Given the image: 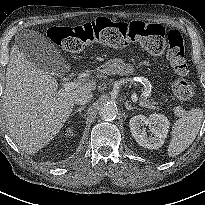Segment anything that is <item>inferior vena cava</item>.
<instances>
[{
  "label": "inferior vena cava",
  "mask_w": 205,
  "mask_h": 205,
  "mask_svg": "<svg viewBox=\"0 0 205 205\" xmlns=\"http://www.w3.org/2000/svg\"><path fill=\"white\" fill-rule=\"evenodd\" d=\"M93 94L91 91H81L75 96V104L84 105L92 100Z\"/></svg>",
  "instance_id": "1"
}]
</instances>
